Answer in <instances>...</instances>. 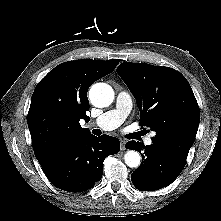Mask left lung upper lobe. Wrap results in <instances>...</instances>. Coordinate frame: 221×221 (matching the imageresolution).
<instances>
[{
    "mask_svg": "<svg viewBox=\"0 0 221 221\" xmlns=\"http://www.w3.org/2000/svg\"><path fill=\"white\" fill-rule=\"evenodd\" d=\"M117 73L140 109V126L156 132L152 142L187 158L200 121L190 84L178 71L145 63L124 62Z\"/></svg>",
    "mask_w": 221,
    "mask_h": 221,
    "instance_id": "left-lung-upper-lobe-1",
    "label": "left lung upper lobe"
}]
</instances>
